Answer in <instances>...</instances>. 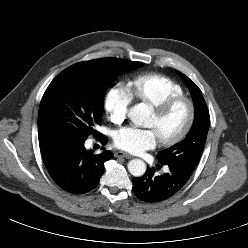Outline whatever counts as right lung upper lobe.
Returning <instances> with one entry per match:
<instances>
[{
    "label": "right lung upper lobe",
    "mask_w": 248,
    "mask_h": 248,
    "mask_svg": "<svg viewBox=\"0 0 248 248\" xmlns=\"http://www.w3.org/2000/svg\"><path fill=\"white\" fill-rule=\"evenodd\" d=\"M40 140H42L43 139V137H41V138H39Z\"/></svg>",
    "instance_id": "right-lung-upper-lobe-1"
}]
</instances>
